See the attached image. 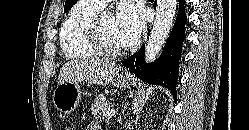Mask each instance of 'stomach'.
<instances>
[{
	"label": "stomach",
	"mask_w": 249,
	"mask_h": 130,
	"mask_svg": "<svg viewBox=\"0 0 249 130\" xmlns=\"http://www.w3.org/2000/svg\"><path fill=\"white\" fill-rule=\"evenodd\" d=\"M132 79L123 75L118 76L114 85L117 88H126ZM82 97V91L79 83L77 82H65L59 84L53 92L54 106L64 114H70L78 106Z\"/></svg>",
	"instance_id": "0dacf381"
}]
</instances>
